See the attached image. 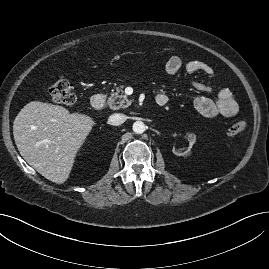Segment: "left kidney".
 <instances>
[{"mask_svg":"<svg viewBox=\"0 0 269 269\" xmlns=\"http://www.w3.org/2000/svg\"><path fill=\"white\" fill-rule=\"evenodd\" d=\"M186 138L189 142V146L187 148H183V149H176L175 147H173L172 152L175 155L187 157L190 154L191 148L196 141V135L193 133H190Z\"/></svg>","mask_w":269,"mask_h":269,"instance_id":"obj_1","label":"left kidney"}]
</instances>
